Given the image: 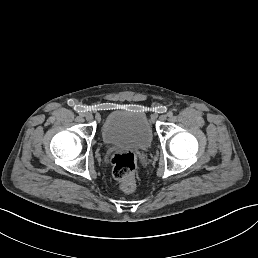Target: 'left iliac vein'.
Here are the masks:
<instances>
[{
  "label": "left iliac vein",
  "mask_w": 258,
  "mask_h": 258,
  "mask_svg": "<svg viewBox=\"0 0 258 258\" xmlns=\"http://www.w3.org/2000/svg\"><path fill=\"white\" fill-rule=\"evenodd\" d=\"M160 120H161L162 122H165V121L167 120V117H166L165 115H161V116H160Z\"/></svg>",
  "instance_id": "obj_1"
}]
</instances>
